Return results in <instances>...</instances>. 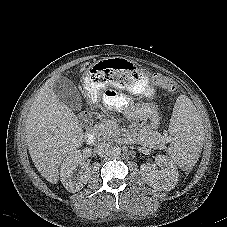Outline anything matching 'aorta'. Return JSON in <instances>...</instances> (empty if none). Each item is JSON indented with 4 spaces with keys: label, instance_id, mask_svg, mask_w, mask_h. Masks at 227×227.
Listing matches in <instances>:
<instances>
[{
    "label": "aorta",
    "instance_id": "obj_1",
    "mask_svg": "<svg viewBox=\"0 0 227 227\" xmlns=\"http://www.w3.org/2000/svg\"><path fill=\"white\" fill-rule=\"evenodd\" d=\"M111 155L116 157L121 154V148L119 146H113L110 151Z\"/></svg>",
    "mask_w": 227,
    "mask_h": 227
}]
</instances>
